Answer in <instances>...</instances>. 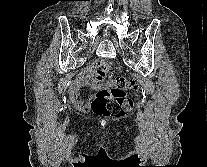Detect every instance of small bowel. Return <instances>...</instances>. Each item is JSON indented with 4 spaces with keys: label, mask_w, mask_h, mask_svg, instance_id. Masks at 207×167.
<instances>
[{
    "label": "small bowel",
    "mask_w": 207,
    "mask_h": 167,
    "mask_svg": "<svg viewBox=\"0 0 207 167\" xmlns=\"http://www.w3.org/2000/svg\"><path fill=\"white\" fill-rule=\"evenodd\" d=\"M84 86H90L95 88V84L92 81L90 72L82 73L75 82L71 85L69 89V97L75 106L81 111H87L90 107L91 101L94 97V94H89L84 99L80 98V89Z\"/></svg>",
    "instance_id": "obj_1"
}]
</instances>
